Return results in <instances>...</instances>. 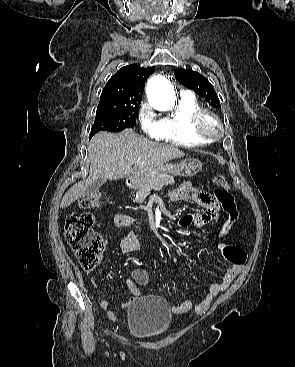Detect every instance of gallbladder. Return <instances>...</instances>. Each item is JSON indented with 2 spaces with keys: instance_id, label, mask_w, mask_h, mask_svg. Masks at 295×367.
I'll use <instances>...</instances> for the list:
<instances>
[{
  "instance_id": "gallbladder-1",
  "label": "gallbladder",
  "mask_w": 295,
  "mask_h": 367,
  "mask_svg": "<svg viewBox=\"0 0 295 367\" xmlns=\"http://www.w3.org/2000/svg\"><path fill=\"white\" fill-rule=\"evenodd\" d=\"M106 183V179H98L93 184L89 186V188L85 191L86 195H92L93 193L97 192L103 184Z\"/></svg>"
}]
</instances>
